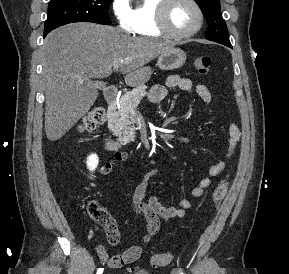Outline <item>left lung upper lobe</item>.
Segmentation results:
<instances>
[{
	"label": "left lung upper lobe",
	"mask_w": 289,
	"mask_h": 274,
	"mask_svg": "<svg viewBox=\"0 0 289 274\" xmlns=\"http://www.w3.org/2000/svg\"><path fill=\"white\" fill-rule=\"evenodd\" d=\"M209 25L205 36L208 40L224 45L231 44L227 25L222 17L219 0H195Z\"/></svg>",
	"instance_id": "5c2ea615"
}]
</instances>
